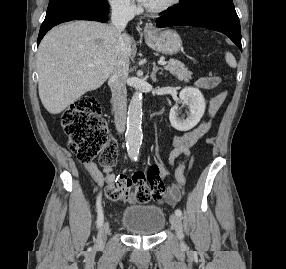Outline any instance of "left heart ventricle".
I'll list each match as a JSON object with an SVG mask.
<instances>
[{
	"instance_id": "1",
	"label": "left heart ventricle",
	"mask_w": 286,
	"mask_h": 269,
	"mask_svg": "<svg viewBox=\"0 0 286 269\" xmlns=\"http://www.w3.org/2000/svg\"><path fill=\"white\" fill-rule=\"evenodd\" d=\"M166 1L167 0H149L146 6H148V7H156V6H159V5L163 4Z\"/></svg>"
}]
</instances>
